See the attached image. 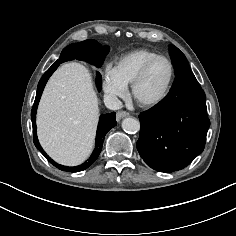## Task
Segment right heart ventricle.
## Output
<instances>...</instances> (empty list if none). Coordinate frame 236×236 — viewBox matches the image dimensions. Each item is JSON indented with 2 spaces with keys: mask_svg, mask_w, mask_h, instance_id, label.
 Returning <instances> with one entry per match:
<instances>
[{
  "mask_svg": "<svg viewBox=\"0 0 236 236\" xmlns=\"http://www.w3.org/2000/svg\"><path fill=\"white\" fill-rule=\"evenodd\" d=\"M158 53L147 48H138L121 55L115 61L112 69L116 77L127 87L142 66Z\"/></svg>",
  "mask_w": 236,
  "mask_h": 236,
  "instance_id": "e07e8e85",
  "label": "right heart ventricle"
}]
</instances>
